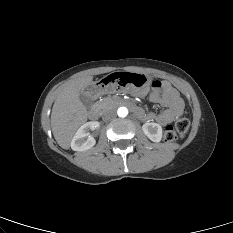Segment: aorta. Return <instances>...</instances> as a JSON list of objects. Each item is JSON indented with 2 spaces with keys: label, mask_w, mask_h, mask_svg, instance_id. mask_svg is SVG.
I'll use <instances>...</instances> for the list:
<instances>
[{
  "label": "aorta",
  "mask_w": 233,
  "mask_h": 233,
  "mask_svg": "<svg viewBox=\"0 0 233 233\" xmlns=\"http://www.w3.org/2000/svg\"><path fill=\"white\" fill-rule=\"evenodd\" d=\"M117 114L119 117H126L128 115V109L126 107H120L117 110Z\"/></svg>",
  "instance_id": "aorta-1"
}]
</instances>
